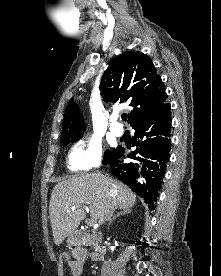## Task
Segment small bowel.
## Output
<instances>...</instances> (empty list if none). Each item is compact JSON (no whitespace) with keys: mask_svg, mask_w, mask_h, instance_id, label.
Returning <instances> with one entry per match:
<instances>
[{"mask_svg":"<svg viewBox=\"0 0 221 276\" xmlns=\"http://www.w3.org/2000/svg\"><path fill=\"white\" fill-rule=\"evenodd\" d=\"M88 259V252L84 248H75L72 251L69 267L73 276H80L83 272L84 265ZM92 261H99L100 258L95 254H90Z\"/></svg>","mask_w":221,"mask_h":276,"instance_id":"small-bowel-1","label":"small bowel"}]
</instances>
